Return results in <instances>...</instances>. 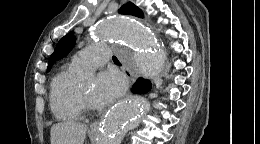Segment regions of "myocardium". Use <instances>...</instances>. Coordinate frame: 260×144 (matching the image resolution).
I'll return each mask as SVG.
<instances>
[{
  "instance_id": "1",
  "label": "myocardium",
  "mask_w": 260,
  "mask_h": 144,
  "mask_svg": "<svg viewBox=\"0 0 260 144\" xmlns=\"http://www.w3.org/2000/svg\"><path fill=\"white\" fill-rule=\"evenodd\" d=\"M79 100L81 105L83 106V109H87L89 111L96 110V106L93 104V102L85 95L82 88H79Z\"/></svg>"
}]
</instances>
